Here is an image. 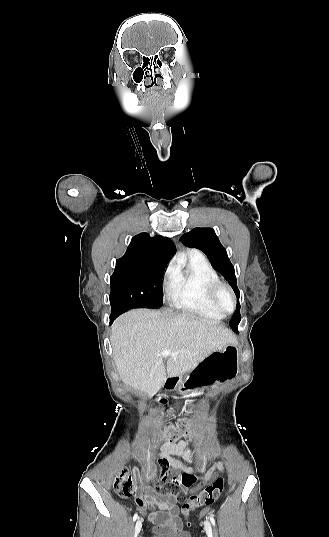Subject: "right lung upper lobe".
<instances>
[{
	"label": "right lung upper lobe",
	"instance_id": "obj_1",
	"mask_svg": "<svg viewBox=\"0 0 329 537\" xmlns=\"http://www.w3.org/2000/svg\"><path fill=\"white\" fill-rule=\"evenodd\" d=\"M174 254V244L169 238L160 235L150 237L148 233H140L132 238L125 255L116 260L115 270L167 265Z\"/></svg>",
	"mask_w": 329,
	"mask_h": 537
}]
</instances>
